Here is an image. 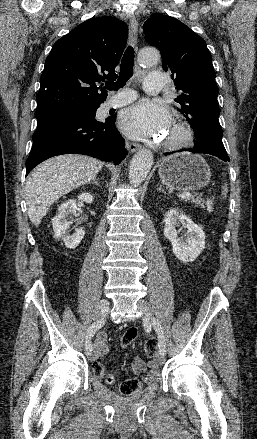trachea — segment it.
Instances as JSON below:
<instances>
[{
  "label": "trachea",
  "mask_w": 257,
  "mask_h": 439,
  "mask_svg": "<svg viewBox=\"0 0 257 439\" xmlns=\"http://www.w3.org/2000/svg\"><path fill=\"white\" fill-rule=\"evenodd\" d=\"M134 49L129 46L122 58L120 74L117 82H106L105 88L108 90H118L133 76Z\"/></svg>",
  "instance_id": "3493384b"
}]
</instances>
